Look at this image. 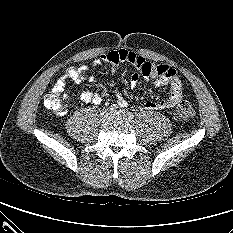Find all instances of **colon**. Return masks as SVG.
I'll return each instance as SVG.
<instances>
[{"instance_id":"obj_1","label":"colon","mask_w":233,"mask_h":233,"mask_svg":"<svg viewBox=\"0 0 233 233\" xmlns=\"http://www.w3.org/2000/svg\"><path fill=\"white\" fill-rule=\"evenodd\" d=\"M60 95L61 93L58 90L52 89L44 97L45 107L57 114L63 113L66 105V101ZM175 114L178 119L187 121L194 116L195 110L189 102L182 101L178 104Z\"/></svg>"}]
</instances>
